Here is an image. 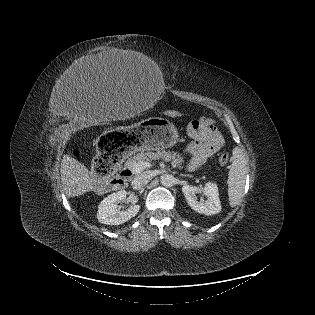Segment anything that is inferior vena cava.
I'll use <instances>...</instances> for the list:
<instances>
[{
    "mask_svg": "<svg viewBox=\"0 0 315 315\" xmlns=\"http://www.w3.org/2000/svg\"><path fill=\"white\" fill-rule=\"evenodd\" d=\"M151 179H152V175L150 172H143L133 179L132 187L136 190H140L144 186H146L150 182Z\"/></svg>",
    "mask_w": 315,
    "mask_h": 315,
    "instance_id": "inferior-vena-cava-1",
    "label": "inferior vena cava"
}]
</instances>
